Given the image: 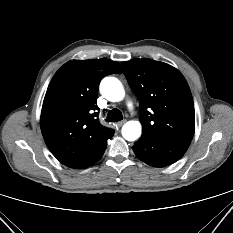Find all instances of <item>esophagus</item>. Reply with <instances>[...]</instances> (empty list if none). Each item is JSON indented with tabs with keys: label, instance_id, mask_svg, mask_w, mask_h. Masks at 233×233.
I'll return each mask as SVG.
<instances>
[{
	"label": "esophagus",
	"instance_id": "34e87169",
	"mask_svg": "<svg viewBox=\"0 0 233 233\" xmlns=\"http://www.w3.org/2000/svg\"><path fill=\"white\" fill-rule=\"evenodd\" d=\"M125 122H126V120H122V121H120V122L117 123V126L121 127Z\"/></svg>",
	"mask_w": 233,
	"mask_h": 233
}]
</instances>
